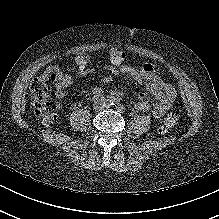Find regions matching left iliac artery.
I'll use <instances>...</instances> for the list:
<instances>
[{
  "label": "left iliac artery",
  "instance_id": "1",
  "mask_svg": "<svg viewBox=\"0 0 219 219\" xmlns=\"http://www.w3.org/2000/svg\"><path fill=\"white\" fill-rule=\"evenodd\" d=\"M119 104H120V99L117 98V99L115 100V105H119Z\"/></svg>",
  "mask_w": 219,
  "mask_h": 219
}]
</instances>
